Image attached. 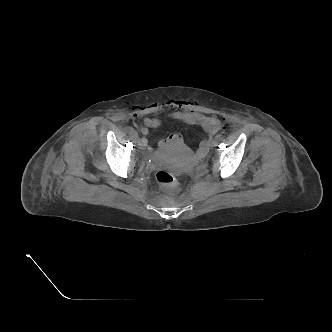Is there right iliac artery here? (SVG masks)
<instances>
[{"label": "right iliac artery", "instance_id": "obj_1", "mask_svg": "<svg viewBox=\"0 0 332 332\" xmlns=\"http://www.w3.org/2000/svg\"><path fill=\"white\" fill-rule=\"evenodd\" d=\"M126 130H127L128 132H132V131H133V128H132V127H127Z\"/></svg>", "mask_w": 332, "mask_h": 332}]
</instances>
